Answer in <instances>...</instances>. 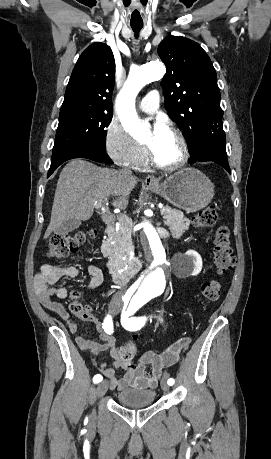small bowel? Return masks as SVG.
<instances>
[{
    "label": "small bowel",
    "mask_w": 271,
    "mask_h": 459,
    "mask_svg": "<svg viewBox=\"0 0 271 459\" xmlns=\"http://www.w3.org/2000/svg\"><path fill=\"white\" fill-rule=\"evenodd\" d=\"M87 273L90 276L87 288H97L103 281L101 270L95 266H90L87 268ZM79 275L80 270L75 266L42 265L34 278L35 293L39 302L67 323L70 332L75 335L77 345L82 350L90 351L95 356L101 353H109L112 358L111 363L97 364L95 359L92 362L97 370L106 377L111 390H122L127 387L155 388L162 373L178 361L180 353L188 347L190 339L183 337L160 353L152 350L145 351L140 355L134 366L128 367L119 356L116 339L105 332L103 323L96 320L91 307H85V314L82 319L95 323L98 332L97 338H85L78 335L77 325L70 321L64 306L51 300L52 297L65 299L69 295L67 288L54 286L60 279L66 277L76 278ZM119 369H123L124 373L117 376Z\"/></svg>",
    "instance_id": "1"
}]
</instances>
